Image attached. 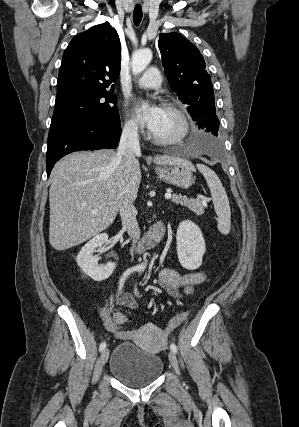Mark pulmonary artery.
Returning a JSON list of instances; mask_svg holds the SVG:
<instances>
[{"label":"pulmonary artery","mask_w":299,"mask_h":427,"mask_svg":"<svg viewBox=\"0 0 299 427\" xmlns=\"http://www.w3.org/2000/svg\"><path fill=\"white\" fill-rule=\"evenodd\" d=\"M161 84V75L157 68L150 67L144 75L137 81V85L144 89H154Z\"/></svg>","instance_id":"1"}]
</instances>
